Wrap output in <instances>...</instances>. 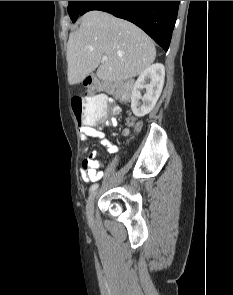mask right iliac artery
I'll list each match as a JSON object with an SVG mask.
<instances>
[{
  "label": "right iliac artery",
  "mask_w": 233,
  "mask_h": 295,
  "mask_svg": "<svg viewBox=\"0 0 233 295\" xmlns=\"http://www.w3.org/2000/svg\"><path fill=\"white\" fill-rule=\"evenodd\" d=\"M98 188V184H93L91 187H90V192H93L95 191L96 189Z\"/></svg>",
  "instance_id": "82829eb1"
}]
</instances>
